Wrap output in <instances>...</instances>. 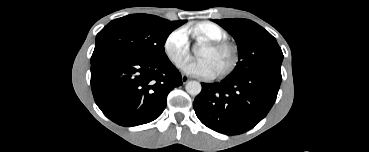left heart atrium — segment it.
<instances>
[{
  "mask_svg": "<svg viewBox=\"0 0 369 152\" xmlns=\"http://www.w3.org/2000/svg\"><path fill=\"white\" fill-rule=\"evenodd\" d=\"M181 70L194 77L212 78L216 75L213 65L207 59L188 60L182 63Z\"/></svg>",
  "mask_w": 369,
  "mask_h": 152,
  "instance_id": "obj_1",
  "label": "left heart atrium"
}]
</instances>
